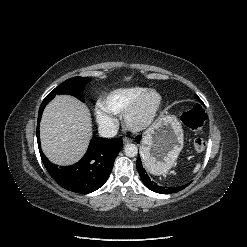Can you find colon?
Wrapping results in <instances>:
<instances>
[{
	"instance_id": "obj_1",
	"label": "colon",
	"mask_w": 247,
	"mask_h": 247,
	"mask_svg": "<svg viewBox=\"0 0 247 247\" xmlns=\"http://www.w3.org/2000/svg\"><path fill=\"white\" fill-rule=\"evenodd\" d=\"M183 123L190 129L198 133L205 123V113L199 107H194L182 114ZM206 148V142L201 137L194 140V149L196 152H203Z\"/></svg>"
}]
</instances>
